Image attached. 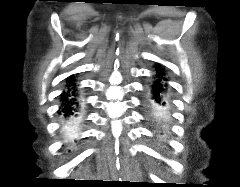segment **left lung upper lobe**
I'll return each mask as SVG.
<instances>
[{
    "label": "left lung upper lobe",
    "mask_w": 240,
    "mask_h": 187,
    "mask_svg": "<svg viewBox=\"0 0 240 187\" xmlns=\"http://www.w3.org/2000/svg\"><path fill=\"white\" fill-rule=\"evenodd\" d=\"M155 122H156V121H155ZM156 123H158L160 126H163V125H162L163 122H156Z\"/></svg>",
    "instance_id": "left-lung-upper-lobe-1"
}]
</instances>
